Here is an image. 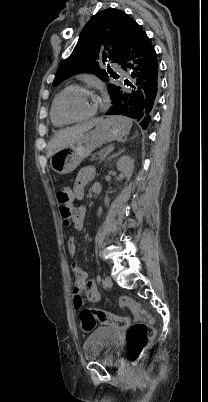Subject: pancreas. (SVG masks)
<instances>
[{
    "instance_id": "obj_1",
    "label": "pancreas",
    "mask_w": 208,
    "mask_h": 402,
    "mask_svg": "<svg viewBox=\"0 0 208 402\" xmlns=\"http://www.w3.org/2000/svg\"><path fill=\"white\" fill-rule=\"evenodd\" d=\"M108 148H103V150H100V152H97V154H92L91 160H95L96 156H99V158H103L105 154H107Z\"/></svg>"
}]
</instances>
